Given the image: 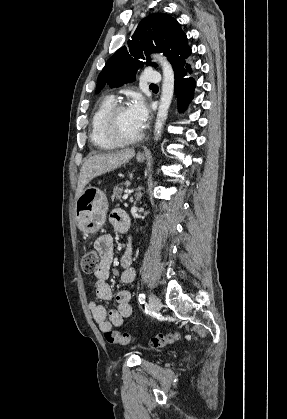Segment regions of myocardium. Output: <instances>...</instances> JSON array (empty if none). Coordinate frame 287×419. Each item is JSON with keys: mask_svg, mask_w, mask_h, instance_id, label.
<instances>
[{"mask_svg": "<svg viewBox=\"0 0 287 419\" xmlns=\"http://www.w3.org/2000/svg\"><path fill=\"white\" fill-rule=\"evenodd\" d=\"M125 108L126 105L124 103H117L109 109L103 119L104 133L110 140L118 145L134 144L143 138L142 132L133 137H125L119 132L117 126V117L119 112Z\"/></svg>", "mask_w": 287, "mask_h": 419, "instance_id": "f54148a6", "label": "myocardium"}]
</instances>
